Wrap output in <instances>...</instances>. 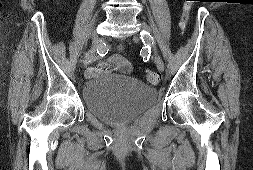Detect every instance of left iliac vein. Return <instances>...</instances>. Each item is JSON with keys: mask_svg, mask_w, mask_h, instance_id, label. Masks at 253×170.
Instances as JSON below:
<instances>
[{"mask_svg": "<svg viewBox=\"0 0 253 170\" xmlns=\"http://www.w3.org/2000/svg\"><path fill=\"white\" fill-rule=\"evenodd\" d=\"M141 27L144 31L151 32L150 27L145 22L141 23ZM153 50H154V61L156 63V66L159 71L163 72L164 71V62H163L162 58L160 57V55L156 51V44L155 43H153Z\"/></svg>", "mask_w": 253, "mask_h": 170, "instance_id": "1", "label": "left iliac vein"}]
</instances>
